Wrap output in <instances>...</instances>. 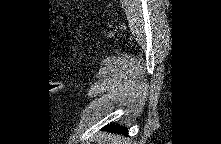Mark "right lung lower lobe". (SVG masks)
I'll return each mask as SVG.
<instances>
[{"label":"right lung lower lobe","mask_w":221,"mask_h":144,"mask_svg":"<svg viewBox=\"0 0 221 144\" xmlns=\"http://www.w3.org/2000/svg\"><path fill=\"white\" fill-rule=\"evenodd\" d=\"M108 129L113 130L114 132L127 134V129H125V127L122 128V127H119V126L115 127L113 125H110V127Z\"/></svg>","instance_id":"1"}]
</instances>
